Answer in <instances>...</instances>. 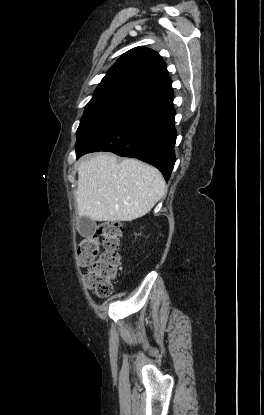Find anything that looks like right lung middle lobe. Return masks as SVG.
I'll return each instance as SVG.
<instances>
[{
	"mask_svg": "<svg viewBox=\"0 0 264 415\" xmlns=\"http://www.w3.org/2000/svg\"><path fill=\"white\" fill-rule=\"evenodd\" d=\"M141 101L139 97L119 93L94 95L86 105L77 129L76 150L85 147L93 138Z\"/></svg>",
	"mask_w": 264,
	"mask_h": 415,
	"instance_id": "dd1d6c3e",
	"label": "right lung middle lobe"
}]
</instances>
